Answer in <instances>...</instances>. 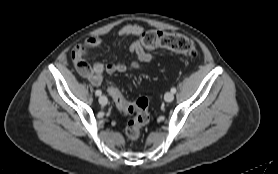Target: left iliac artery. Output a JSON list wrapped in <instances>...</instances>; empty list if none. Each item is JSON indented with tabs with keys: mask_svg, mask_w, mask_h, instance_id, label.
I'll return each instance as SVG.
<instances>
[{
	"mask_svg": "<svg viewBox=\"0 0 278 174\" xmlns=\"http://www.w3.org/2000/svg\"><path fill=\"white\" fill-rule=\"evenodd\" d=\"M171 92H172V93H176V88H175V87H172V88H171Z\"/></svg>",
	"mask_w": 278,
	"mask_h": 174,
	"instance_id": "obj_1",
	"label": "left iliac artery"
}]
</instances>
